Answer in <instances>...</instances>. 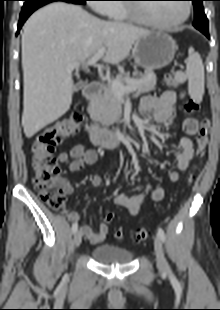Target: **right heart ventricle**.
<instances>
[{
	"instance_id": "obj_1",
	"label": "right heart ventricle",
	"mask_w": 220,
	"mask_h": 310,
	"mask_svg": "<svg viewBox=\"0 0 220 310\" xmlns=\"http://www.w3.org/2000/svg\"><path fill=\"white\" fill-rule=\"evenodd\" d=\"M111 7L107 10L106 15L115 20H129V14L126 5L123 4H110Z\"/></svg>"
}]
</instances>
